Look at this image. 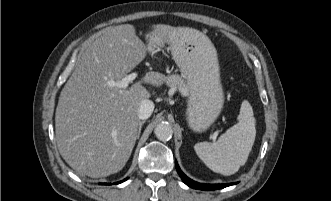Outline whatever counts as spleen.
I'll use <instances>...</instances> for the list:
<instances>
[{
  "label": "spleen",
  "mask_w": 331,
  "mask_h": 201,
  "mask_svg": "<svg viewBox=\"0 0 331 201\" xmlns=\"http://www.w3.org/2000/svg\"><path fill=\"white\" fill-rule=\"evenodd\" d=\"M256 122L248 101H243L238 122L222 134L216 142H200L194 150L212 171L222 175L236 173L252 150L256 136Z\"/></svg>",
  "instance_id": "3e777b00"
}]
</instances>
